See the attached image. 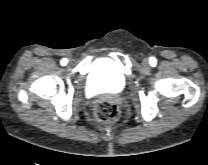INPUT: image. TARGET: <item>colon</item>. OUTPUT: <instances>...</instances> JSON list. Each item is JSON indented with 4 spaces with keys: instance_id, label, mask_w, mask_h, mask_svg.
Masks as SVG:
<instances>
[{
    "instance_id": "5ec220e1",
    "label": "colon",
    "mask_w": 208,
    "mask_h": 165,
    "mask_svg": "<svg viewBox=\"0 0 208 165\" xmlns=\"http://www.w3.org/2000/svg\"><path fill=\"white\" fill-rule=\"evenodd\" d=\"M94 117L100 124L112 123L119 117V108L113 101H99L94 108Z\"/></svg>"
}]
</instances>
